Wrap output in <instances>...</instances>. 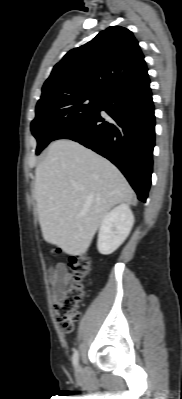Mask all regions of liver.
I'll list each match as a JSON object with an SVG mask.
<instances>
[{
  "mask_svg": "<svg viewBox=\"0 0 182 399\" xmlns=\"http://www.w3.org/2000/svg\"><path fill=\"white\" fill-rule=\"evenodd\" d=\"M35 174L43 238L69 255L84 254L109 210L134 198L112 163L72 140L53 142Z\"/></svg>",
  "mask_w": 182,
  "mask_h": 399,
  "instance_id": "1",
  "label": "liver"
}]
</instances>
